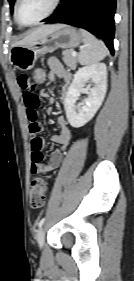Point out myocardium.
<instances>
[{"label": "myocardium", "mask_w": 134, "mask_h": 281, "mask_svg": "<svg viewBox=\"0 0 134 281\" xmlns=\"http://www.w3.org/2000/svg\"><path fill=\"white\" fill-rule=\"evenodd\" d=\"M21 0H16L15 2V6H14V18L16 20V22L22 26V27H32V26H36L38 24H40L41 22L45 21L46 19H48L50 16H52L56 10L59 8L60 4H61V0H54L53 1V5L50 8V10L40 19H38L35 22L32 23H23L20 18H19V14H18V8H19V4H20Z\"/></svg>", "instance_id": "myocardium-1"}]
</instances>
